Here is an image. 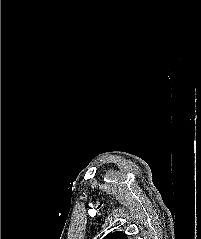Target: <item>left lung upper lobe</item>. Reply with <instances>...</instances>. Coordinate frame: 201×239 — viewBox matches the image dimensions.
<instances>
[{
  "mask_svg": "<svg viewBox=\"0 0 201 239\" xmlns=\"http://www.w3.org/2000/svg\"><path fill=\"white\" fill-rule=\"evenodd\" d=\"M103 239H127V236L123 232L109 233Z\"/></svg>",
  "mask_w": 201,
  "mask_h": 239,
  "instance_id": "5c2ea615",
  "label": "left lung upper lobe"
}]
</instances>
